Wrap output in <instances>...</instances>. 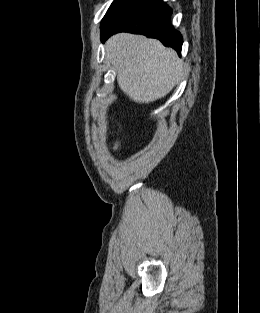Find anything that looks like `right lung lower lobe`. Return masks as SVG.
I'll return each instance as SVG.
<instances>
[{
  "mask_svg": "<svg viewBox=\"0 0 260 313\" xmlns=\"http://www.w3.org/2000/svg\"><path fill=\"white\" fill-rule=\"evenodd\" d=\"M171 8L162 0H120L104 16L101 40L117 32L143 34L159 39L181 54L183 39L170 23Z\"/></svg>",
  "mask_w": 260,
  "mask_h": 313,
  "instance_id": "1",
  "label": "right lung lower lobe"
}]
</instances>
